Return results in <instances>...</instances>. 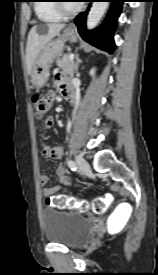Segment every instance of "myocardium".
<instances>
[{"label": "myocardium", "mask_w": 158, "mask_h": 275, "mask_svg": "<svg viewBox=\"0 0 158 275\" xmlns=\"http://www.w3.org/2000/svg\"><path fill=\"white\" fill-rule=\"evenodd\" d=\"M57 2H62V1H57ZM55 6H56L57 11L62 16H71L81 10V6H79V5H77L73 8H69L65 3H56Z\"/></svg>", "instance_id": "f54148a6"}]
</instances>
